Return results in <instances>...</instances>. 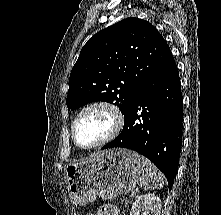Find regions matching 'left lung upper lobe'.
<instances>
[{
	"label": "left lung upper lobe",
	"instance_id": "5c2ea615",
	"mask_svg": "<svg viewBox=\"0 0 221 215\" xmlns=\"http://www.w3.org/2000/svg\"><path fill=\"white\" fill-rule=\"evenodd\" d=\"M171 51L157 29L126 18L93 35L81 49L69 78V110L87 103H114L125 114L142 86L164 65Z\"/></svg>",
	"mask_w": 221,
	"mask_h": 215
}]
</instances>
